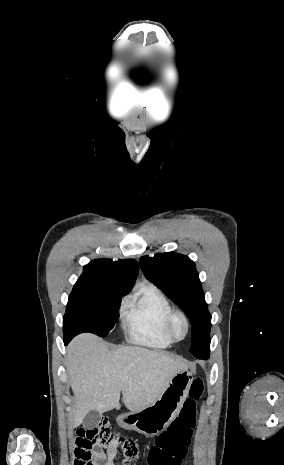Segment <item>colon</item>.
I'll use <instances>...</instances> for the list:
<instances>
[{
	"label": "colon",
	"instance_id": "colon-1",
	"mask_svg": "<svg viewBox=\"0 0 284 465\" xmlns=\"http://www.w3.org/2000/svg\"><path fill=\"white\" fill-rule=\"evenodd\" d=\"M203 395L202 381L194 378L189 386L188 397L181 405L182 413L177 414V421H171L164 435L157 438L158 445L151 446L147 457L148 465H180L186 458L188 438L192 437L194 429L195 414L193 406L201 400ZM193 405V406H192ZM116 441L121 444L128 456L137 455L136 440L116 436L107 422H99L86 426L75 432L74 460L73 465H95L91 462L90 454L86 451L92 450L97 444L112 443Z\"/></svg>",
	"mask_w": 284,
	"mask_h": 465
}]
</instances>
